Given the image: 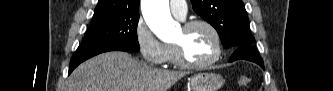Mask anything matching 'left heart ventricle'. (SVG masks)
Masks as SVG:
<instances>
[{
  "label": "left heart ventricle",
  "instance_id": "left-heart-ventricle-1",
  "mask_svg": "<svg viewBox=\"0 0 333 91\" xmlns=\"http://www.w3.org/2000/svg\"><path fill=\"white\" fill-rule=\"evenodd\" d=\"M174 44L182 46L187 59L192 62H203L212 58L216 48L212 34L202 26L190 31L182 28Z\"/></svg>",
  "mask_w": 333,
  "mask_h": 91
}]
</instances>
